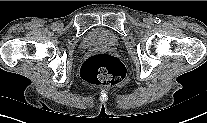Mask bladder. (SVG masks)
I'll return each mask as SVG.
<instances>
[{
    "instance_id": "bladder-1",
    "label": "bladder",
    "mask_w": 207,
    "mask_h": 123,
    "mask_svg": "<svg viewBox=\"0 0 207 123\" xmlns=\"http://www.w3.org/2000/svg\"><path fill=\"white\" fill-rule=\"evenodd\" d=\"M118 43L119 37L114 32L103 27L90 30L82 40V46L85 48L114 47Z\"/></svg>"
}]
</instances>
